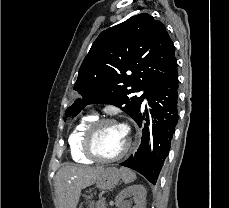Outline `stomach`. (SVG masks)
<instances>
[{
	"mask_svg": "<svg viewBox=\"0 0 229 208\" xmlns=\"http://www.w3.org/2000/svg\"><path fill=\"white\" fill-rule=\"evenodd\" d=\"M121 180V174L117 168H105L96 180V188L99 190H111Z\"/></svg>",
	"mask_w": 229,
	"mask_h": 208,
	"instance_id": "1",
	"label": "stomach"
}]
</instances>
